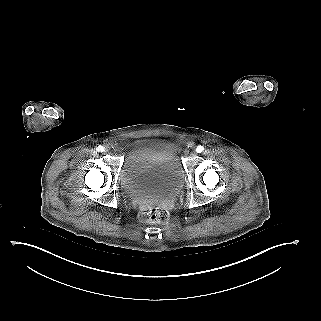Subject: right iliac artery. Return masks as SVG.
<instances>
[{
  "label": "right iliac artery",
  "mask_w": 321,
  "mask_h": 321,
  "mask_svg": "<svg viewBox=\"0 0 321 321\" xmlns=\"http://www.w3.org/2000/svg\"><path fill=\"white\" fill-rule=\"evenodd\" d=\"M97 151H98V152H103V151H104V147L101 146V145L98 146V147H97Z\"/></svg>",
  "instance_id": "right-iliac-artery-1"
}]
</instances>
